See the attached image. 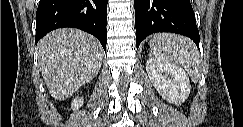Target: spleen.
I'll use <instances>...</instances> for the list:
<instances>
[{
	"mask_svg": "<svg viewBox=\"0 0 243 127\" xmlns=\"http://www.w3.org/2000/svg\"><path fill=\"white\" fill-rule=\"evenodd\" d=\"M150 47L155 59L183 66L192 81H198L199 52L189 38L175 34H158L150 41Z\"/></svg>",
	"mask_w": 243,
	"mask_h": 127,
	"instance_id": "obj_1",
	"label": "spleen"
}]
</instances>
